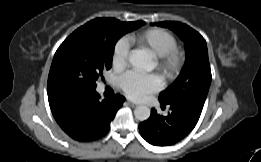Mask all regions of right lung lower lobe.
<instances>
[{
	"label": "right lung lower lobe",
	"mask_w": 261,
	"mask_h": 162,
	"mask_svg": "<svg viewBox=\"0 0 261 162\" xmlns=\"http://www.w3.org/2000/svg\"><path fill=\"white\" fill-rule=\"evenodd\" d=\"M125 98L115 95L108 100H99L94 92L81 98H70L51 108L59 126L71 138L89 142L105 136L110 122L122 106Z\"/></svg>",
	"instance_id": "1"
}]
</instances>
